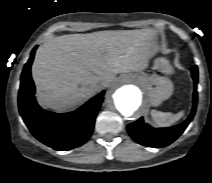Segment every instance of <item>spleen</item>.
Returning <instances> with one entry per match:
<instances>
[{
  "mask_svg": "<svg viewBox=\"0 0 212 183\" xmlns=\"http://www.w3.org/2000/svg\"><path fill=\"white\" fill-rule=\"evenodd\" d=\"M183 111H180L176 114H173L171 112H160L157 110L151 111V116L153 121L156 123V125L161 127H166L174 122L178 121L183 116Z\"/></svg>",
  "mask_w": 212,
  "mask_h": 183,
  "instance_id": "1",
  "label": "spleen"
}]
</instances>
